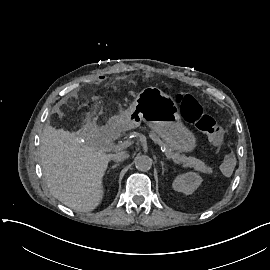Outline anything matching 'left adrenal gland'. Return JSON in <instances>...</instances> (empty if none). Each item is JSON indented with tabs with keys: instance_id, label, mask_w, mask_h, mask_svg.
<instances>
[{
	"instance_id": "a2214340",
	"label": "left adrenal gland",
	"mask_w": 270,
	"mask_h": 270,
	"mask_svg": "<svg viewBox=\"0 0 270 270\" xmlns=\"http://www.w3.org/2000/svg\"><path fill=\"white\" fill-rule=\"evenodd\" d=\"M161 164H162V174L164 175L165 174L164 162H161Z\"/></svg>"
}]
</instances>
